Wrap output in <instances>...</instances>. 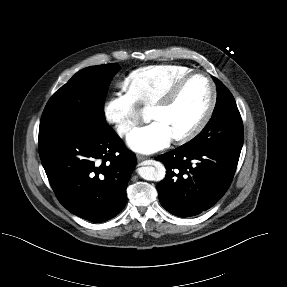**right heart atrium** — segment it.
<instances>
[{"label":"right heart atrium","instance_id":"right-heart-atrium-1","mask_svg":"<svg viewBox=\"0 0 287 287\" xmlns=\"http://www.w3.org/2000/svg\"><path fill=\"white\" fill-rule=\"evenodd\" d=\"M103 113L120 136L129 134L140 118L138 102L126 85H122L105 102Z\"/></svg>","mask_w":287,"mask_h":287}]
</instances>
